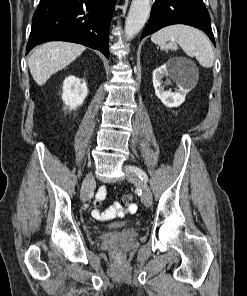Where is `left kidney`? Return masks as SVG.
I'll use <instances>...</instances> for the list:
<instances>
[{"mask_svg": "<svg viewBox=\"0 0 247 296\" xmlns=\"http://www.w3.org/2000/svg\"><path fill=\"white\" fill-rule=\"evenodd\" d=\"M164 76H169L179 87L176 92L166 91L161 83ZM197 83L196 72L184 63L182 59H171L153 71V86L156 96L167 107H178L184 101L186 94Z\"/></svg>", "mask_w": 247, "mask_h": 296, "instance_id": "1", "label": "left kidney"}]
</instances>
